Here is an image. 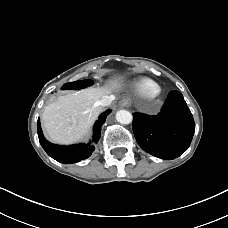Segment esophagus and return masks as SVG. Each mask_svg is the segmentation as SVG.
Returning a JSON list of instances; mask_svg holds the SVG:
<instances>
[{
  "instance_id": "obj_1",
  "label": "esophagus",
  "mask_w": 228,
  "mask_h": 228,
  "mask_svg": "<svg viewBox=\"0 0 228 228\" xmlns=\"http://www.w3.org/2000/svg\"><path fill=\"white\" fill-rule=\"evenodd\" d=\"M129 105H130V100H128V99H122L119 102V106L120 107H128Z\"/></svg>"
}]
</instances>
